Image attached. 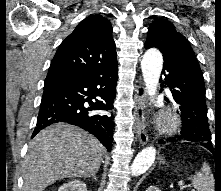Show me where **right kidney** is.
Masks as SVG:
<instances>
[{
  "label": "right kidney",
  "mask_w": 221,
  "mask_h": 191,
  "mask_svg": "<svg viewBox=\"0 0 221 191\" xmlns=\"http://www.w3.org/2000/svg\"><path fill=\"white\" fill-rule=\"evenodd\" d=\"M58 191H87V186L80 180H74L63 184Z\"/></svg>",
  "instance_id": "right-kidney-1"
}]
</instances>
